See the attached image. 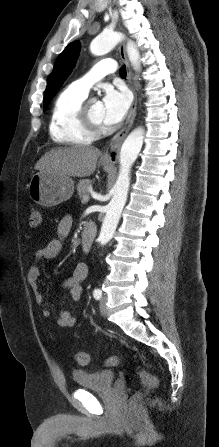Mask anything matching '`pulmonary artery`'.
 <instances>
[{
    "mask_svg": "<svg viewBox=\"0 0 219 447\" xmlns=\"http://www.w3.org/2000/svg\"><path fill=\"white\" fill-rule=\"evenodd\" d=\"M116 71V65L112 60H102L97 63L87 74L74 81L70 87L80 94L87 95L89 89L106 75Z\"/></svg>",
    "mask_w": 219,
    "mask_h": 447,
    "instance_id": "pulmonary-artery-1",
    "label": "pulmonary artery"
}]
</instances>
